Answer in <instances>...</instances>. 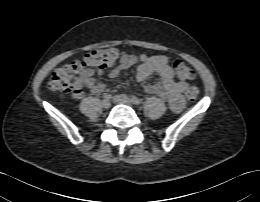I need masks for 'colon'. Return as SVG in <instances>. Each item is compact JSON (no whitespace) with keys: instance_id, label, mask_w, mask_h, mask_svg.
Returning <instances> with one entry per match:
<instances>
[{"instance_id":"1","label":"colon","mask_w":260,"mask_h":202,"mask_svg":"<svg viewBox=\"0 0 260 202\" xmlns=\"http://www.w3.org/2000/svg\"><path fill=\"white\" fill-rule=\"evenodd\" d=\"M117 58L118 52L115 48L94 50L83 58L56 69L48 82V87L52 91L62 93L75 91L87 74L102 72L112 66ZM174 69L180 79L188 80L193 79L195 76L194 71L180 60L174 62ZM198 95L199 91L196 86L191 85L188 87L186 96L190 101H195Z\"/></svg>"}]
</instances>
